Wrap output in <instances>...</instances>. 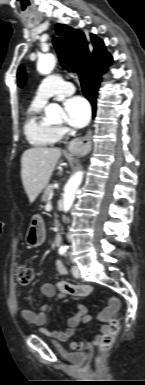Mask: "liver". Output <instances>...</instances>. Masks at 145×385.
Returning <instances> with one entry per match:
<instances>
[{"label": "liver", "mask_w": 145, "mask_h": 385, "mask_svg": "<svg viewBox=\"0 0 145 385\" xmlns=\"http://www.w3.org/2000/svg\"><path fill=\"white\" fill-rule=\"evenodd\" d=\"M60 156L59 148L46 147L30 148L22 154L21 178L31 203L48 185Z\"/></svg>", "instance_id": "6515ba94"}]
</instances>
